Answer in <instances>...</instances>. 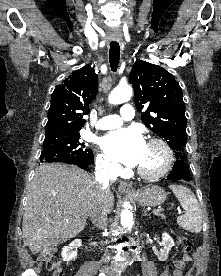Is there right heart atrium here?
Here are the masks:
<instances>
[{
    "label": "right heart atrium",
    "instance_id": "right-heart-atrium-1",
    "mask_svg": "<svg viewBox=\"0 0 221 276\" xmlns=\"http://www.w3.org/2000/svg\"><path fill=\"white\" fill-rule=\"evenodd\" d=\"M97 168L106 175L116 176L120 172V167L115 162L111 161L106 155L98 154L96 157Z\"/></svg>",
    "mask_w": 221,
    "mask_h": 276
}]
</instances>
